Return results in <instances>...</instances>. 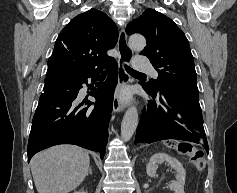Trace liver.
<instances>
[{"instance_id":"1","label":"liver","mask_w":237,"mask_h":193,"mask_svg":"<svg viewBox=\"0 0 237 193\" xmlns=\"http://www.w3.org/2000/svg\"><path fill=\"white\" fill-rule=\"evenodd\" d=\"M88 152L74 145H58L37 153L31 172L38 193H69L88 174Z\"/></svg>"}]
</instances>
